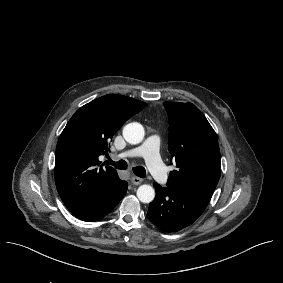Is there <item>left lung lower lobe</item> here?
Listing matches in <instances>:
<instances>
[{
	"label": "left lung lower lobe",
	"instance_id": "obj_1",
	"mask_svg": "<svg viewBox=\"0 0 283 283\" xmlns=\"http://www.w3.org/2000/svg\"><path fill=\"white\" fill-rule=\"evenodd\" d=\"M156 197L150 203L147 217L165 232L179 231L192 224L207 203L189 193L154 183Z\"/></svg>",
	"mask_w": 283,
	"mask_h": 283
}]
</instances>
